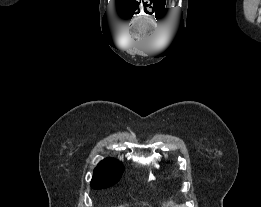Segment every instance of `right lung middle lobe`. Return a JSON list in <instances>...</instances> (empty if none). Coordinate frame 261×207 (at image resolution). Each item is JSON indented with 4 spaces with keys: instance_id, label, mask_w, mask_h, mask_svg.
Returning a JSON list of instances; mask_svg holds the SVG:
<instances>
[{
    "instance_id": "right-lung-middle-lobe-1",
    "label": "right lung middle lobe",
    "mask_w": 261,
    "mask_h": 207,
    "mask_svg": "<svg viewBox=\"0 0 261 207\" xmlns=\"http://www.w3.org/2000/svg\"><path fill=\"white\" fill-rule=\"evenodd\" d=\"M124 167L122 164L115 165L111 168H95L91 187L93 189H103L117 183L123 174Z\"/></svg>"
}]
</instances>
